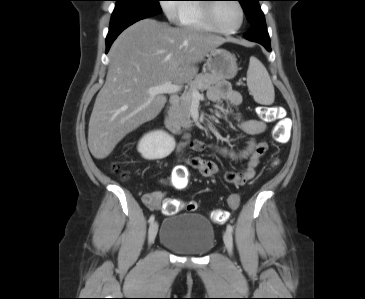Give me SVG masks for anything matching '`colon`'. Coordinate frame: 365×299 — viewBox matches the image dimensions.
<instances>
[{"instance_id":"obj_1","label":"colon","mask_w":365,"mask_h":299,"mask_svg":"<svg viewBox=\"0 0 365 299\" xmlns=\"http://www.w3.org/2000/svg\"><path fill=\"white\" fill-rule=\"evenodd\" d=\"M261 118L268 122H276V125L272 132V137L277 142H284L287 138V128L283 120V109L279 106H262L260 107ZM276 162H273L275 165ZM112 172L122 177H126L125 172H123L118 164H113ZM186 175L177 174L175 177V184L178 189H183L186 187ZM229 207L231 209H236L239 205V196L233 194L229 197ZM197 207L195 202L183 203L179 200H168L163 205V213L166 215H172L177 213L182 208H186L189 211L195 210ZM213 222L217 224H223L228 219V212L225 209H215L211 214Z\"/></svg>"}]
</instances>
